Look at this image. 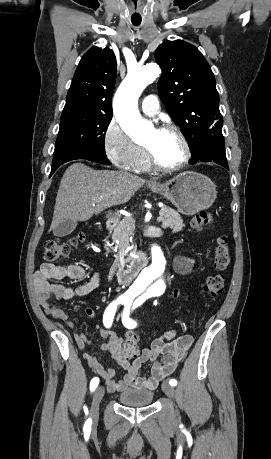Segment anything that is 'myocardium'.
Wrapping results in <instances>:
<instances>
[{"instance_id":"1","label":"myocardium","mask_w":271,"mask_h":459,"mask_svg":"<svg viewBox=\"0 0 271 459\" xmlns=\"http://www.w3.org/2000/svg\"><path fill=\"white\" fill-rule=\"evenodd\" d=\"M157 129L163 132H172L173 134H175L182 143L183 155L176 162H172V163L164 162L155 154V152L149 146L144 145L151 163L155 167L163 171H174V170H179V169L184 168L187 164H189V162L192 159V155H193L192 147H191V144L186 134L182 131V129L178 125H176L172 121L163 123Z\"/></svg>"}]
</instances>
